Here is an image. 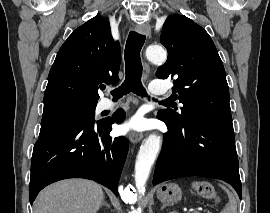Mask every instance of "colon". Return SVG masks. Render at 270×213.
<instances>
[{"label":"colon","instance_id":"1","mask_svg":"<svg viewBox=\"0 0 270 213\" xmlns=\"http://www.w3.org/2000/svg\"><path fill=\"white\" fill-rule=\"evenodd\" d=\"M195 191L202 198L211 200L217 199V193L214 187L209 182L206 181L198 182L195 185Z\"/></svg>","mask_w":270,"mask_h":213}]
</instances>
